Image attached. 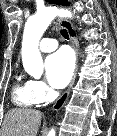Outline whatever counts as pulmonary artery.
Listing matches in <instances>:
<instances>
[{
    "label": "pulmonary artery",
    "mask_w": 117,
    "mask_h": 136,
    "mask_svg": "<svg viewBox=\"0 0 117 136\" xmlns=\"http://www.w3.org/2000/svg\"><path fill=\"white\" fill-rule=\"evenodd\" d=\"M58 46V41L55 38L46 37L43 38L39 44V49L42 52H51Z\"/></svg>",
    "instance_id": "obj_1"
}]
</instances>
